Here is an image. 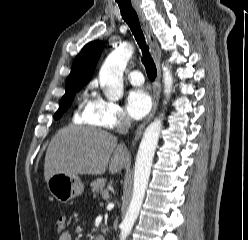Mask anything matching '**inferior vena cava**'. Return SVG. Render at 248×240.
I'll use <instances>...</instances> for the list:
<instances>
[{"label":"inferior vena cava","instance_id":"1","mask_svg":"<svg viewBox=\"0 0 248 240\" xmlns=\"http://www.w3.org/2000/svg\"><path fill=\"white\" fill-rule=\"evenodd\" d=\"M131 125V122L128 118H125L121 124L118 126L117 131L121 134H126Z\"/></svg>","mask_w":248,"mask_h":240}]
</instances>
